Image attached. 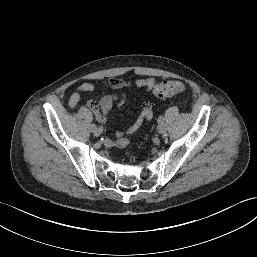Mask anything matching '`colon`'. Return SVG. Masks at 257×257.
I'll list each match as a JSON object with an SVG mask.
<instances>
[{
	"label": "colon",
	"mask_w": 257,
	"mask_h": 257,
	"mask_svg": "<svg viewBox=\"0 0 257 257\" xmlns=\"http://www.w3.org/2000/svg\"><path fill=\"white\" fill-rule=\"evenodd\" d=\"M184 90L185 86L181 81L169 80L156 85L153 89V93L157 98L163 99L182 93Z\"/></svg>",
	"instance_id": "5ec220e1"
}]
</instances>
